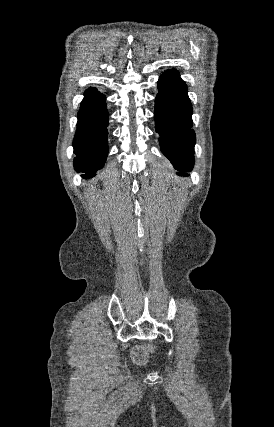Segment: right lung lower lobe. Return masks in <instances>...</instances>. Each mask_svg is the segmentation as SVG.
Listing matches in <instances>:
<instances>
[{"label": "right lung lower lobe", "instance_id": "right-lung-lower-lobe-1", "mask_svg": "<svg viewBox=\"0 0 274 427\" xmlns=\"http://www.w3.org/2000/svg\"><path fill=\"white\" fill-rule=\"evenodd\" d=\"M108 116L105 96L95 88L88 89L78 113L73 141L74 167L77 172L85 173L83 178H92L106 161Z\"/></svg>", "mask_w": 274, "mask_h": 427}]
</instances>
